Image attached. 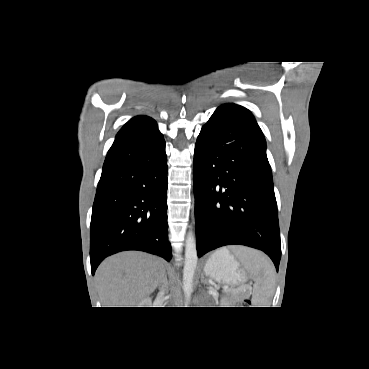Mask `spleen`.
I'll return each mask as SVG.
<instances>
[{"label": "spleen", "instance_id": "1", "mask_svg": "<svg viewBox=\"0 0 369 369\" xmlns=\"http://www.w3.org/2000/svg\"><path fill=\"white\" fill-rule=\"evenodd\" d=\"M239 258L254 275L252 303L255 307H269L275 286V268L270 259L259 251L241 248Z\"/></svg>", "mask_w": 369, "mask_h": 369}]
</instances>
